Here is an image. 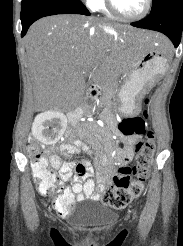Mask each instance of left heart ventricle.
Segmentation results:
<instances>
[{"label": "left heart ventricle", "mask_w": 183, "mask_h": 246, "mask_svg": "<svg viewBox=\"0 0 183 246\" xmlns=\"http://www.w3.org/2000/svg\"><path fill=\"white\" fill-rule=\"evenodd\" d=\"M117 9L126 16H135L142 12L146 0H114Z\"/></svg>", "instance_id": "b2bd125f"}]
</instances>
